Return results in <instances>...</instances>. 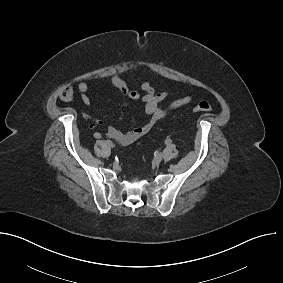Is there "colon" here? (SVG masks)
I'll return each mask as SVG.
<instances>
[{
	"mask_svg": "<svg viewBox=\"0 0 283 283\" xmlns=\"http://www.w3.org/2000/svg\"><path fill=\"white\" fill-rule=\"evenodd\" d=\"M59 97L61 100L65 102H70L73 100L74 92L71 86H64L60 92ZM212 109V104L208 100H202L200 101L196 107L193 109L194 112H206L210 111Z\"/></svg>",
	"mask_w": 283,
	"mask_h": 283,
	"instance_id": "1",
	"label": "colon"
}]
</instances>
